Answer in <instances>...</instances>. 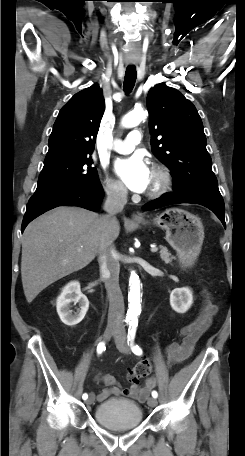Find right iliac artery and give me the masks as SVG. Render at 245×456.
Wrapping results in <instances>:
<instances>
[{"label": "right iliac artery", "instance_id": "82829eb1", "mask_svg": "<svg viewBox=\"0 0 245 456\" xmlns=\"http://www.w3.org/2000/svg\"><path fill=\"white\" fill-rule=\"evenodd\" d=\"M105 349H106L105 343H104V342H100V343L98 344V346H97V353H98V354H101L103 351H105ZM82 398H83L84 400H86V399L88 398V394L84 393V394L82 395Z\"/></svg>", "mask_w": 245, "mask_h": 456}]
</instances>
